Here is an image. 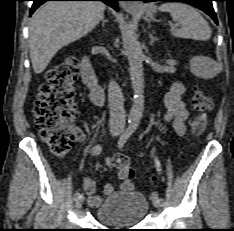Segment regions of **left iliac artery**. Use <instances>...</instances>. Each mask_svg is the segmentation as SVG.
<instances>
[{"mask_svg":"<svg viewBox=\"0 0 234 231\" xmlns=\"http://www.w3.org/2000/svg\"><path fill=\"white\" fill-rule=\"evenodd\" d=\"M139 124L138 120H135L131 123V125L128 127V129L125 131V133H123L121 135V137L118 140V147L122 148L124 146V144L126 143V141L128 140V138L134 133V131L137 129ZM155 160V166L158 172L161 171V164L160 161L158 160V158L155 156L154 157ZM159 203L160 205H164L165 201L163 198H159Z\"/></svg>","mask_w":234,"mask_h":231,"instance_id":"left-iliac-artery-1","label":"left iliac artery"}]
</instances>
